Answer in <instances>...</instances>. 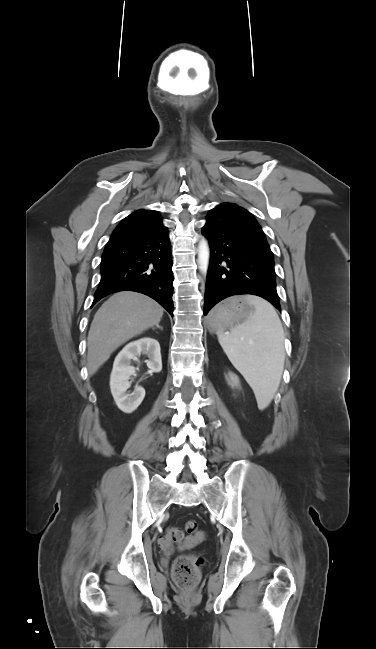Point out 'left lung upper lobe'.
Instances as JSON below:
<instances>
[{"label": "left lung upper lobe", "instance_id": "1", "mask_svg": "<svg viewBox=\"0 0 376 649\" xmlns=\"http://www.w3.org/2000/svg\"><path fill=\"white\" fill-rule=\"evenodd\" d=\"M209 215L235 223L245 228L246 230H249L265 238L264 232L262 231L260 225L257 223L253 215L236 204L222 203L217 207L213 208L209 212Z\"/></svg>", "mask_w": 376, "mask_h": 649}]
</instances>
